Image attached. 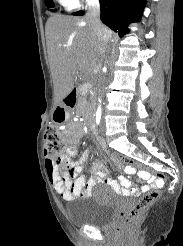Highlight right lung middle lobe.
I'll return each instance as SVG.
<instances>
[{"label": "right lung middle lobe", "instance_id": "right-lung-middle-lobe-1", "mask_svg": "<svg viewBox=\"0 0 183 246\" xmlns=\"http://www.w3.org/2000/svg\"><path fill=\"white\" fill-rule=\"evenodd\" d=\"M44 2L48 8L54 7V3L52 0H44Z\"/></svg>", "mask_w": 183, "mask_h": 246}]
</instances>
